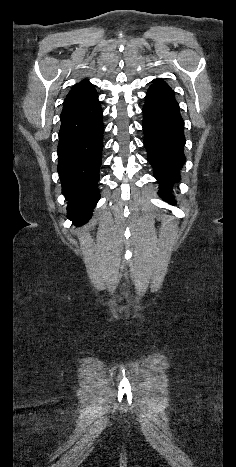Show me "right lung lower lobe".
<instances>
[{
    "label": "right lung lower lobe",
    "mask_w": 236,
    "mask_h": 467,
    "mask_svg": "<svg viewBox=\"0 0 236 467\" xmlns=\"http://www.w3.org/2000/svg\"><path fill=\"white\" fill-rule=\"evenodd\" d=\"M102 110L98 97L84 108L61 116L58 167L67 218L85 224L100 194L97 186L103 148Z\"/></svg>",
    "instance_id": "98d812e1"
}]
</instances>
